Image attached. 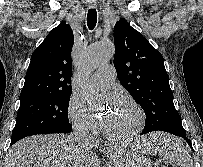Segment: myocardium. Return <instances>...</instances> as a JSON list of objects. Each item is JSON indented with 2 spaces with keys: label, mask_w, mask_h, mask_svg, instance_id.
I'll list each match as a JSON object with an SVG mask.
<instances>
[{
  "label": "myocardium",
  "mask_w": 203,
  "mask_h": 167,
  "mask_svg": "<svg viewBox=\"0 0 203 167\" xmlns=\"http://www.w3.org/2000/svg\"><path fill=\"white\" fill-rule=\"evenodd\" d=\"M124 103L130 107L131 109H133L135 111V113L137 114V125L136 127L129 132L128 134L125 135H116L111 133L109 130H107L104 126V124L100 123L101 125V129L103 131V133L105 134L106 137H108L111 140L117 141V142H127L130 140H133L135 137H137L140 132L143 130L144 124H145V113L142 110V108L135 102L131 101L130 99L126 98V97H122Z\"/></svg>",
  "instance_id": "1"
}]
</instances>
